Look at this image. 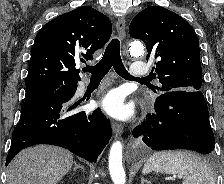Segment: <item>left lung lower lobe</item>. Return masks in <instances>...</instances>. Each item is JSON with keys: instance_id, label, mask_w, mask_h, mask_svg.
Instances as JSON below:
<instances>
[{"instance_id": "left-lung-lower-lobe-1", "label": "left lung lower lobe", "mask_w": 224, "mask_h": 184, "mask_svg": "<svg viewBox=\"0 0 224 184\" xmlns=\"http://www.w3.org/2000/svg\"><path fill=\"white\" fill-rule=\"evenodd\" d=\"M153 150L188 149L208 154L214 149L208 108L201 91H169L156 98L155 112L133 130Z\"/></svg>"}]
</instances>
